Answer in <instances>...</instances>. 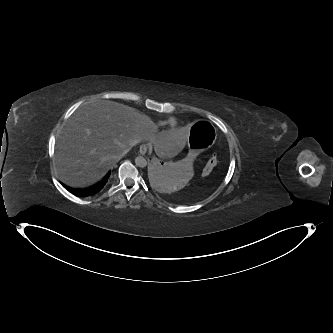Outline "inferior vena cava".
<instances>
[{
  "instance_id": "obj_1",
  "label": "inferior vena cava",
  "mask_w": 333,
  "mask_h": 333,
  "mask_svg": "<svg viewBox=\"0 0 333 333\" xmlns=\"http://www.w3.org/2000/svg\"><path fill=\"white\" fill-rule=\"evenodd\" d=\"M127 152H128V150H127V151H125V152H123V153H122V157H123L124 155H126V154H127Z\"/></svg>"
}]
</instances>
